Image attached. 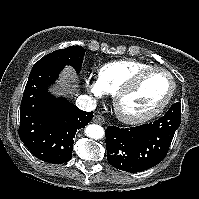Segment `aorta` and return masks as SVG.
Listing matches in <instances>:
<instances>
[{
    "label": "aorta",
    "mask_w": 199,
    "mask_h": 199,
    "mask_svg": "<svg viewBox=\"0 0 199 199\" xmlns=\"http://www.w3.org/2000/svg\"><path fill=\"white\" fill-rule=\"evenodd\" d=\"M85 134L92 139H101L104 136V129L100 125L91 124L86 127Z\"/></svg>",
    "instance_id": "762f6f07"
}]
</instances>
